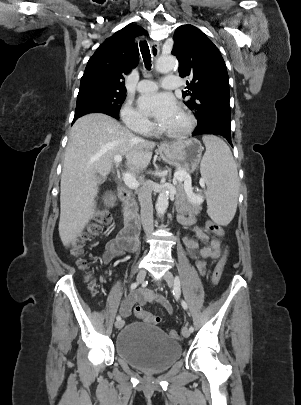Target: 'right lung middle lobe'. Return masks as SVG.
Wrapping results in <instances>:
<instances>
[{"label":"right lung middle lobe","instance_id":"dd1d6c3e","mask_svg":"<svg viewBox=\"0 0 301 405\" xmlns=\"http://www.w3.org/2000/svg\"><path fill=\"white\" fill-rule=\"evenodd\" d=\"M126 97L125 93L90 91L79 93L74 121L89 113H104L119 119V109Z\"/></svg>","mask_w":301,"mask_h":405}]
</instances>
